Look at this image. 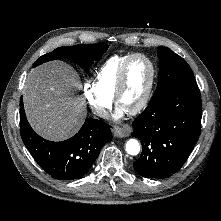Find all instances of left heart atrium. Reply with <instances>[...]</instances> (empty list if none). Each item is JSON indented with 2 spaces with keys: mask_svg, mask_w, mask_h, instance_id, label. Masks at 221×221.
I'll return each mask as SVG.
<instances>
[{
  "mask_svg": "<svg viewBox=\"0 0 221 221\" xmlns=\"http://www.w3.org/2000/svg\"><path fill=\"white\" fill-rule=\"evenodd\" d=\"M125 113L126 111L124 109H122L121 107H118L115 113V117L121 118Z\"/></svg>",
  "mask_w": 221,
  "mask_h": 221,
  "instance_id": "obj_1",
  "label": "left heart atrium"
}]
</instances>
